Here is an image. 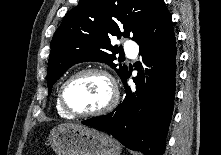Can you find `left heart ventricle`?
<instances>
[{
	"instance_id": "left-heart-ventricle-1",
	"label": "left heart ventricle",
	"mask_w": 221,
	"mask_h": 155,
	"mask_svg": "<svg viewBox=\"0 0 221 155\" xmlns=\"http://www.w3.org/2000/svg\"><path fill=\"white\" fill-rule=\"evenodd\" d=\"M107 81L97 74H86L74 79L66 88L67 105L76 112H91L103 107L109 99Z\"/></svg>"
}]
</instances>
